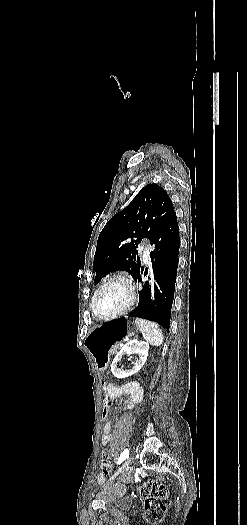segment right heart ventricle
<instances>
[{
	"label": "right heart ventricle",
	"mask_w": 247,
	"mask_h": 525,
	"mask_svg": "<svg viewBox=\"0 0 247 525\" xmlns=\"http://www.w3.org/2000/svg\"><path fill=\"white\" fill-rule=\"evenodd\" d=\"M96 320L98 321V318H96ZM149 324H153V323H149Z\"/></svg>",
	"instance_id": "obj_1"
}]
</instances>
